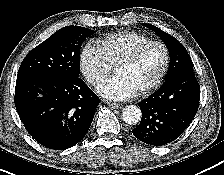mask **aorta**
Instances as JSON below:
<instances>
[{
	"mask_svg": "<svg viewBox=\"0 0 224 175\" xmlns=\"http://www.w3.org/2000/svg\"><path fill=\"white\" fill-rule=\"evenodd\" d=\"M141 117V110L135 105H128L122 110V118L127 124H137L141 120Z\"/></svg>",
	"mask_w": 224,
	"mask_h": 175,
	"instance_id": "762f6f07",
	"label": "aorta"
}]
</instances>
